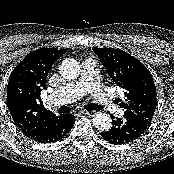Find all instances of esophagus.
Segmentation results:
<instances>
[{
	"label": "esophagus",
	"instance_id": "obj_1",
	"mask_svg": "<svg viewBox=\"0 0 174 174\" xmlns=\"http://www.w3.org/2000/svg\"><path fill=\"white\" fill-rule=\"evenodd\" d=\"M80 114L91 116L92 114H94V111H85V110H82V111H80Z\"/></svg>",
	"mask_w": 174,
	"mask_h": 174
}]
</instances>
